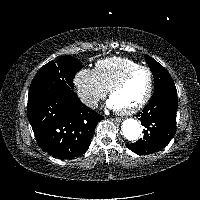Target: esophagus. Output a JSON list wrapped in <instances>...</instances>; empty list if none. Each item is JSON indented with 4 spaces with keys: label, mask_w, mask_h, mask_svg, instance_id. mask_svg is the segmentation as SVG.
Segmentation results:
<instances>
[{
    "label": "esophagus",
    "mask_w": 200,
    "mask_h": 200,
    "mask_svg": "<svg viewBox=\"0 0 200 200\" xmlns=\"http://www.w3.org/2000/svg\"><path fill=\"white\" fill-rule=\"evenodd\" d=\"M111 120L115 123H120L122 121L121 118H112Z\"/></svg>",
    "instance_id": "1"
}]
</instances>
